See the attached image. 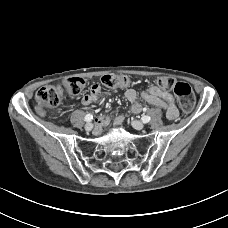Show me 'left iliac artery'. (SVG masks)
<instances>
[{
    "label": "left iliac artery",
    "mask_w": 228,
    "mask_h": 228,
    "mask_svg": "<svg viewBox=\"0 0 228 228\" xmlns=\"http://www.w3.org/2000/svg\"><path fill=\"white\" fill-rule=\"evenodd\" d=\"M141 120L143 123H148L151 120V118L150 116L145 115L141 118Z\"/></svg>",
    "instance_id": "obj_1"
}]
</instances>
